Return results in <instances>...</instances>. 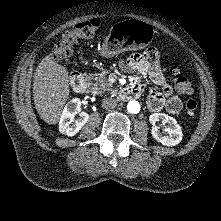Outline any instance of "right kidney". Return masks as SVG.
Wrapping results in <instances>:
<instances>
[{"mask_svg":"<svg viewBox=\"0 0 221 221\" xmlns=\"http://www.w3.org/2000/svg\"><path fill=\"white\" fill-rule=\"evenodd\" d=\"M80 106L81 101L79 98H73L66 104L59 121V131L62 134L74 136L88 121L89 115L86 112L79 113V117L75 119Z\"/></svg>","mask_w":221,"mask_h":221,"instance_id":"right-kidney-1","label":"right kidney"}]
</instances>
